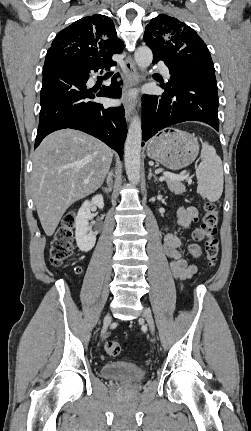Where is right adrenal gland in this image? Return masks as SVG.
<instances>
[{"mask_svg":"<svg viewBox=\"0 0 251 431\" xmlns=\"http://www.w3.org/2000/svg\"><path fill=\"white\" fill-rule=\"evenodd\" d=\"M102 191H104L106 194H109L112 191V181L108 184V187H102Z\"/></svg>","mask_w":251,"mask_h":431,"instance_id":"right-adrenal-gland-1","label":"right adrenal gland"}]
</instances>
